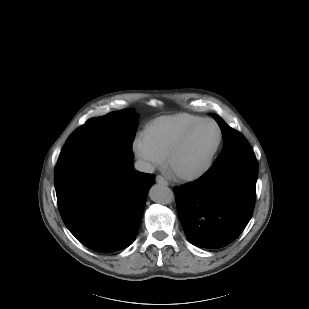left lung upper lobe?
<instances>
[{"label":"left lung upper lobe","mask_w":309,"mask_h":309,"mask_svg":"<svg viewBox=\"0 0 309 309\" xmlns=\"http://www.w3.org/2000/svg\"><path fill=\"white\" fill-rule=\"evenodd\" d=\"M211 116L219 124L224 139L223 149L214 164L221 162L233 155L252 150L241 133L229 127L218 115L212 114Z\"/></svg>","instance_id":"left-lung-upper-lobe-1"}]
</instances>
